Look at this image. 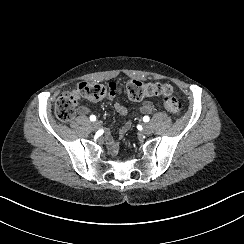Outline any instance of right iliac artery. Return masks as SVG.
Returning a JSON list of instances; mask_svg holds the SVG:
<instances>
[{"instance_id": "obj_1", "label": "right iliac artery", "mask_w": 244, "mask_h": 244, "mask_svg": "<svg viewBox=\"0 0 244 244\" xmlns=\"http://www.w3.org/2000/svg\"><path fill=\"white\" fill-rule=\"evenodd\" d=\"M90 120H91V121H96V117H95V115H91V116H90Z\"/></svg>"}]
</instances>
